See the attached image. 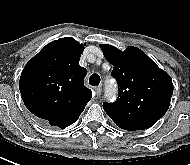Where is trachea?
<instances>
[{"label": "trachea", "instance_id": "trachea-1", "mask_svg": "<svg viewBox=\"0 0 190 165\" xmlns=\"http://www.w3.org/2000/svg\"><path fill=\"white\" fill-rule=\"evenodd\" d=\"M89 83L91 86H98L100 83V77L98 74H92L89 78Z\"/></svg>", "mask_w": 190, "mask_h": 165}]
</instances>
